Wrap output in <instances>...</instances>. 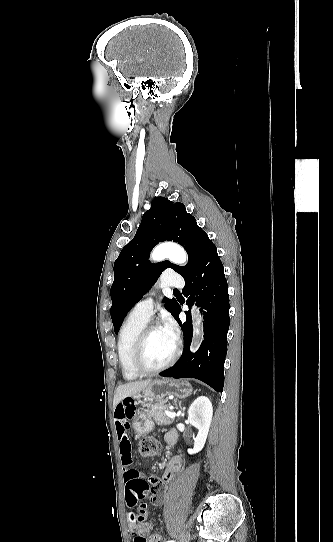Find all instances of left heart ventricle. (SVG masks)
I'll return each mask as SVG.
<instances>
[{
  "label": "left heart ventricle",
  "instance_id": "1",
  "mask_svg": "<svg viewBox=\"0 0 333 542\" xmlns=\"http://www.w3.org/2000/svg\"><path fill=\"white\" fill-rule=\"evenodd\" d=\"M175 344L161 328L153 329L146 342L143 359L145 366L152 368L166 362L173 354Z\"/></svg>",
  "mask_w": 333,
  "mask_h": 542
}]
</instances>
